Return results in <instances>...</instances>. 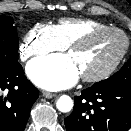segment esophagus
I'll use <instances>...</instances> for the list:
<instances>
[{
    "label": "esophagus",
    "instance_id": "34e87169",
    "mask_svg": "<svg viewBox=\"0 0 131 131\" xmlns=\"http://www.w3.org/2000/svg\"><path fill=\"white\" fill-rule=\"evenodd\" d=\"M43 96H44L45 98H47V99H50V98H53V97L55 96V94H54V93H51V92H46V91H44V92H43Z\"/></svg>",
    "mask_w": 131,
    "mask_h": 131
}]
</instances>
